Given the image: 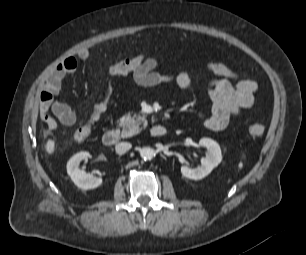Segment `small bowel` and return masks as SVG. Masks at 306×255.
<instances>
[{
  "label": "small bowel",
  "mask_w": 306,
  "mask_h": 255,
  "mask_svg": "<svg viewBox=\"0 0 306 255\" xmlns=\"http://www.w3.org/2000/svg\"><path fill=\"white\" fill-rule=\"evenodd\" d=\"M89 57L87 49L80 50L76 57L69 56L62 60L44 80L40 93L39 116L49 129L57 127V122L50 112L63 125L70 126L75 122L73 110L67 104L54 100V96L60 91L65 76L77 69L78 60L85 61ZM157 66L158 62L154 57H147L144 63L132 72L134 82L141 87H154L174 81L180 89L187 90L196 81V77L187 71L172 76L158 72ZM207 69L213 74L206 90L211 101V112L203 124L209 130L220 131L227 127L233 116L252 107L257 84L250 79H241L235 71L220 62H208Z\"/></svg>",
  "instance_id": "1"
}]
</instances>
